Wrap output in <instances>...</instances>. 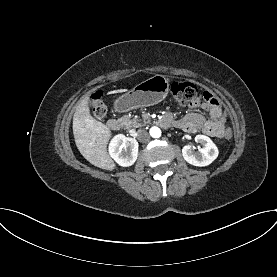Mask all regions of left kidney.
I'll list each match as a JSON object with an SVG mask.
<instances>
[{"mask_svg": "<svg viewBox=\"0 0 277 277\" xmlns=\"http://www.w3.org/2000/svg\"><path fill=\"white\" fill-rule=\"evenodd\" d=\"M195 141L201 144L202 148L199 149V152H194L189 145L184 146L182 149L183 158L194 166H208L218 157L217 146L205 135H197Z\"/></svg>", "mask_w": 277, "mask_h": 277, "instance_id": "1", "label": "left kidney"}]
</instances>
